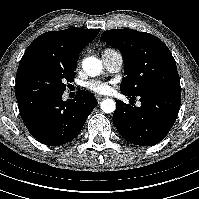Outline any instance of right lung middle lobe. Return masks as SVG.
<instances>
[{"label":"right lung middle lobe","instance_id":"obj_1","mask_svg":"<svg viewBox=\"0 0 199 199\" xmlns=\"http://www.w3.org/2000/svg\"><path fill=\"white\" fill-rule=\"evenodd\" d=\"M76 64L61 65L41 55L21 59L16 74V98L34 95H56L72 82Z\"/></svg>","mask_w":199,"mask_h":199}]
</instances>
